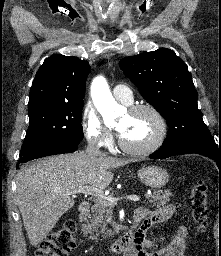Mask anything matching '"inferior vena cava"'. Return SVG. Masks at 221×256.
<instances>
[{
  "instance_id": "1",
  "label": "inferior vena cava",
  "mask_w": 221,
  "mask_h": 256,
  "mask_svg": "<svg viewBox=\"0 0 221 256\" xmlns=\"http://www.w3.org/2000/svg\"><path fill=\"white\" fill-rule=\"evenodd\" d=\"M86 154L88 156H96V157H106L105 153L101 152L97 142L95 140H90L86 149Z\"/></svg>"
}]
</instances>
